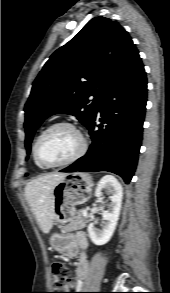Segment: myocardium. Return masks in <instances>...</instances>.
<instances>
[{
	"instance_id": "1",
	"label": "myocardium",
	"mask_w": 170,
	"mask_h": 293,
	"mask_svg": "<svg viewBox=\"0 0 170 293\" xmlns=\"http://www.w3.org/2000/svg\"><path fill=\"white\" fill-rule=\"evenodd\" d=\"M60 127H67L71 130H73L74 132H76L81 140V147L79 149V151L72 156L71 158L64 160L62 162L59 163H47L45 161H43L39 155V147L40 144L42 142V140L44 139V137L51 132L52 130L56 129V128H60ZM87 150V140L84 137V135L82 134V132L73 124L69 123V122H57L54 123L52 125H50L49 127H47L45 130H43L41 132V134L39 135V137L37 138L35 145H34V149H33V154H34V159L35 161L42 167L44 168H58V167H62L68 164H71L77 160H79L85 153Z\"/></svg>"
}]
</instances>
